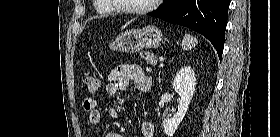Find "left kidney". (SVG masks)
I'll return each instance as SVG.
<instances>
[{"instance_id":"1","label":"left kidney","mask_w":280,"mask_h":137,"mask_svg":"<svg viewBox=\"0 0 280 137\" xmlns=\"http://www.w3.org/2000/svg\"><path fill=\"white\" fill-rule=\"evenodd\" d=\"M196 77L191 66L182 67L176 74L173 81V88L180 96L178 111L173 117L163 121L165 134L172 137L189 108V104L195 92Z\"/></svg>"}]
</instances>
